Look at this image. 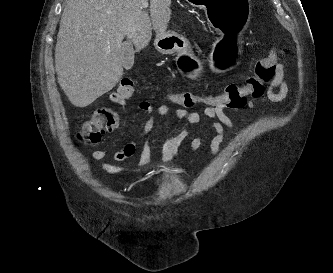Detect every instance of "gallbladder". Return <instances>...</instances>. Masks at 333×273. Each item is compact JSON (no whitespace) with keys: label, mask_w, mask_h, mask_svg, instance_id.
Returning a JSON list of instances; mask_svg holds the SVG:
<instances>
[{"label":"gallbladder","mask_w":333,"mask_h":273,"mask_svg":"<svg viewBox=\"0 0 333 273\" xmlns=\"http://www.w3.org/2000/svg\"><path fill=\"white\" fill-rule=\"evenodd\" d=\"M121 57L122 67L126 70L131 69L134 64V50L131 41L122 44Z\"/></svg>","instance_id":"1"}]
</instances>
